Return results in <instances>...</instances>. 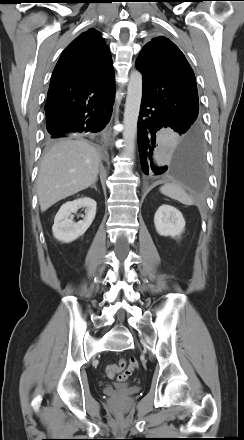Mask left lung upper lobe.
Segmentation results:
<instances>
[{
    "mask_svg": "<svg viewBox=\"0 0 244 440\" xmlns=\"http://www.w3.org/2000/svg\"><path fill=\"white\" fill-rule=\"evenodd\" d=\"M136 68L143 75L142 98L162 108L186 132H201L195 75L171 40L153 38L139 53Z\"/></svg>",
    "mask_w": 244,
    "mask_h": 440,
    "instance_id": "1",
    "label": "left lung upper lobe"
}]
</instances>
